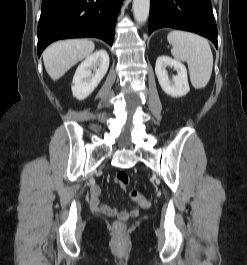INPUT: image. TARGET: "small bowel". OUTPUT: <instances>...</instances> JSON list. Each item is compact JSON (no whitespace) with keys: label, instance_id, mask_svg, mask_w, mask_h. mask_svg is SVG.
Listing matches in <instances>:
<instances>
[{"label":"small bowel","instance_id":"c3829d8e","mask_svg":"<svg viewBox=\"0 0 247 265\" xmlns=\"http://www.w3.org/2000/svg\"><path fill=\"white\" fill-rule=\"evenodd\" d=\"M99 198H100V190L98 188H93L91 191V196H90V206L92 210L97 213L104 214L110 217L116 216L122 220H126L130 216H137L139 214L138 208H133L131 210L112 208V207L103 205L100 202Z\"/></svg>","mask_w":247,"mask_h":265}]
</instances>
